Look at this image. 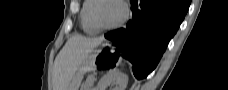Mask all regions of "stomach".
<instances>
[{
    "instance_id": "1",
    "label": "stomach",
    "mask_w": 228,
    "mask_h": 90,
    "mask_svg": "<svg viewBox=\"0 0 228 90\" xmlns=\"http://www.w3.org/2000/svg\"><path fill=\"white\" fill-rule=\"evenodd\" d=\"M104 46L105 45H103V47ZM119 61L120 59L113 48H111L109 52L104 51L103 48L91 52L72 78L67 90H79L80 83L85 73L92 72L106 66H115L119 63Z\"/></svg>"
}]
</instances>
